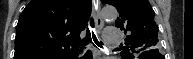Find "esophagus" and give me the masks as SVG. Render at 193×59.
<instances>
[{
    "label": "esophagus",
    "mask_w": 193,
    "mask_h": 59,
    "mask_svg": "<svg viewBox=\"0 0 193 59\" xmlns=\"http://www.w3.org/2000/svg\"><path fill=\"white\" fill-rule=\"evenodd\" d=\"M93 7H94V13L96 16V25H97V29L100 30L103 27V20L100 17V2L99 0H93Z\"/></svg>",
    "instance_id": "34e87169"
}]
</instances>
